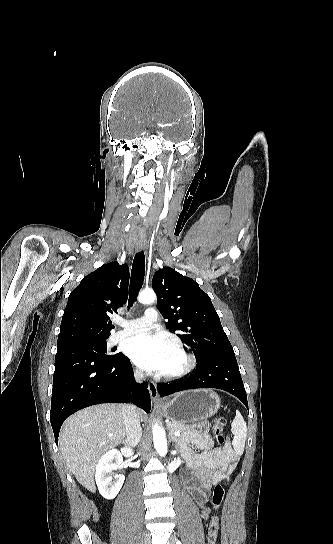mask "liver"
I'll return each mask as SVG.
<instances>
[{"label":"liver","mask_w":333,"mask_h":544,"mask_svg":"<svg viewBox=\"0 0 333 544\" xmlns=\"http://www.w3.org/2000/svg\"><path fill=\"white\" fill-rule=\"evenodd\" d=\"M141 420H145L142 411ZM126 429L122 406L104 404L83 409L68 418L60 432V450L77 481L95 492L94 473L101 455L123 443Z\"/></svg>","instance_id":"1"}]
</instances>
